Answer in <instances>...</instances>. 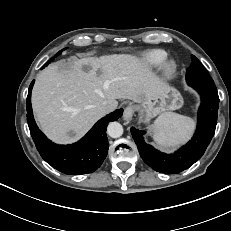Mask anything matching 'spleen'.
Instances as JSON below:
<instances>
[{"label": "spleen", "instance_id": "obj_1", "mask_svg": "<svg viewBox=\"0 0 231 231\" xmlns=\"http://www.w3.org/2000/svg\"><path fill=\"white\" fill-rule=\"evenodd\" d=\"M194 129L191 118L176 113H164L153 124V139L162 147L184 142Z\"/></svg>", "mask_w": 231, "mask_h": 231}]
</instances>
